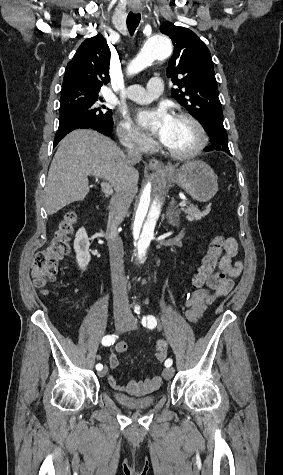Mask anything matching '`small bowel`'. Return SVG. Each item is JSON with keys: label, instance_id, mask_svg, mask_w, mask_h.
Listing matches in <instances>:
<instances>
[{"label": "small bowel", "instance_id": "small-bowel-1", "mask_svg": "<svg viewBox=\"0 0 283 475\" xmlns=\"http://www.w3.org/2000/svg\"><path fill=\"white\" fill-rule=\"evenodd\" d=\"M225 242L228 244V249L224 252V256H222L221 271H218L217 274H213L214 282L208 283L207 291H193L186 299L187 310L185 312V318L191 324H196L201 319L216 297L226 296L232 291L234 279L239 277L242 272V263L235 260L239 252L237 241L232 237H228L225 239ZM126 348V344L120 343L116 346L115 352L109 355L108 365L111 369L118 368L119 359L117 353L124 352ZM108 382L113 388L118 389L120 387L117 379L113 375L108 376ZM160 382V376H153L141 383L131 381L128 388L130 391H135L140 384L155 387L158 386Z\"/></svg>", "mask_w": 283, "mask_h": 475}]
</instances>
